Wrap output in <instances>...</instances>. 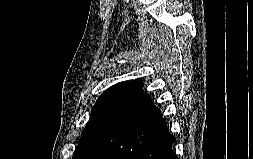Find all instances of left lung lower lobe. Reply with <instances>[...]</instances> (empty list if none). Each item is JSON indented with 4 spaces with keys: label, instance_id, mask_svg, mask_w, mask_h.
<instances>
[{
    "label": "left lung lower lobe",
    "instance_id": "1",
    "mask_svg": "<svg viewBox=\"0 0 253 159\" xmlns=\"http://www.w3.org/2000/svg\"><path fill=\"white\" fill-rule=\"evenodd\" d=\"M174 141L160 110L145 93L109 122L87 159H178Z\"/></svg>",
    "mask_w": 253,
    "mask_h": 159
}]
</instances>
